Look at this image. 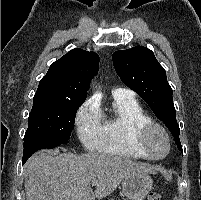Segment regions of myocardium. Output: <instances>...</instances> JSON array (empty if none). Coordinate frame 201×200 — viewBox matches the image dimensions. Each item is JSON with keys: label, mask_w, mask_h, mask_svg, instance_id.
I'll list each match as a JSON object with an SVG mask.
<instances>
[{"label": "myocardium", "mask_w": 201, "mask_h": 200, "mask_svg": "<svg viewBox=\"0 0 201 200\" xmlns=\"http://www.w3.org/2000/svg\"><path fill=\"white\" fill-rule=\"evenodd\" d=\"M157 129L163 133L167 141V151L164 155L160 157H154L150 154L148 145H147V136L148 133L153 130ZM134 140L136 145L143 151L145 157L152 161H161L165 159L171 152L172 149V141L171 136L168 130L158 122L148 120L136 126L134 131Z\"/></svg>", "instance_id": "myocardium-1"}]
</instances>
